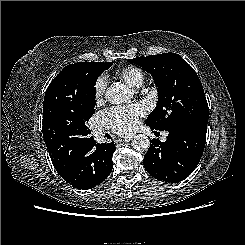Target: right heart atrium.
<instances>
[{
  "mask_svg": "<svg viewBox=\"0 0 245 245\" xmlns=\"http://www.w3.org/2000/svg\"><path fill=\"white\" fill-rule=\"evenodd\" d=\"M106 87H107V78L104 75L99 76L95 82H94V87H93V91H94V97L96 101H100L106 91Z\"/></svg>",
  "mask_w": 245,
  "mask_h": 245,
  "instance_id": "right-heart-atrium-1",
  "label": "right heart atrium"
}]
</instances>
